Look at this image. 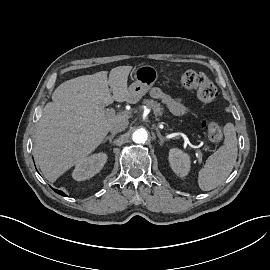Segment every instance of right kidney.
<instances>
[{"label":"right kidney","mask_w":270,"mask_h":270,"mask_svg":"<svg viewBox=\"0 0 270 270\" xmlns=\"http://www.w3.org/2000/svg\"><path fill=\"white\" fill-rule=\"evenodd\" d=\"M107 161L105 153H96L81 159L73 170L72 177L77 181H83L100 172Z\"/></svg>","instance_id":"obj_1"}]
</instances>
